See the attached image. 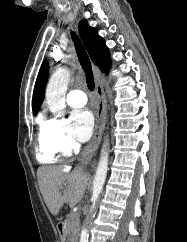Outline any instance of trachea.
I'll return each instance as SVG.
<instances>
[{
    "mask_svg": "<svg viewBox=\"0 0 187 242\" xmlns=\"http://www.w3.org/2000/svg\"><path fill=\"white\" fill-rule=\"evenodd\" d=\"M71 35L74 41V45H75V49H76V53H77L80 65L82 66L86 75L88 89L90 91H93L95 88V83L93 79L90 59L78 36L74 32H71Z\"/></svg>",
    "mask_w": 187,
    "mask_h": 242,
    "instance_id": "1",
    "label": "trachea"
}]
</instances>
